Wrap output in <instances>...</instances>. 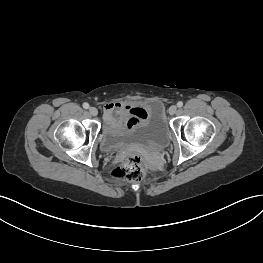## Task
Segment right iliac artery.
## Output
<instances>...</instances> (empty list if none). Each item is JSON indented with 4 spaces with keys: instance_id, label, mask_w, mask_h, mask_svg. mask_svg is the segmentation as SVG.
Listing matches in <instances>:
<instances>
[{
    "instance_id": "right-iliac-artery-1",
    "label": "right iliac artery",
    "mask_w": 263,
    "mask_h": 263,
    "mask_svg": "<svg viewBox=\"0 0 263 263\" xmlns=\"http://www.w3.org/2000/svg\"><path fill=\"white\" fill-rule=\"evenodd\" d=\"M83 108L88 109L89 108V104L88 103H83Z\"/></svg>"
}]
</instances>
